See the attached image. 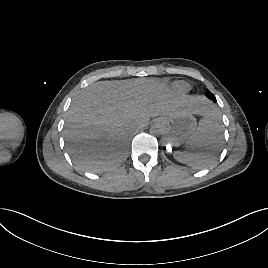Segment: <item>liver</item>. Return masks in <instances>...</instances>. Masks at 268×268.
<instances>
[{"label":"liver","instance_id":"obj_1","mask_svg":"<svg viewBox=\"0 0 268 268\" xmlns=\"http://www.w3.org/2000/svg\"><path fill=\"white\" fill-rule=\"evenodd\" d=\"M182 111L205 116L209 103L199 96H175L153 79L99 81L73 98L64 138L76 166L102 172L120 163L134 127Z\"/></svg>","mask_w":268,"mask_h":268}]
</instances>
